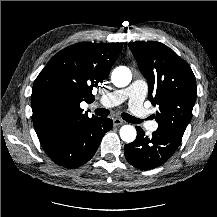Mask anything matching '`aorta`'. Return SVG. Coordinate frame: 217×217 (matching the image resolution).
<instances>
[{
    "instance_id": "obj_1",
    "label": "aorta",
    "mask_w": 217,
    "mask_h": 217,
    "mask_svg": "<svg viewBox=\"0 0 217 217\" xmlns=\"http://www.w3.org/2000/svg\"><path fill=\"white\" fill-rule=\"evenodd\" d=\"M111 80L116 87H126L132 80L131 70L126 66L116 67L112 72ZM136 135V129L132 125H124L120 129V137L124 142H133Z\"/></svg>"
}]
</instances>
